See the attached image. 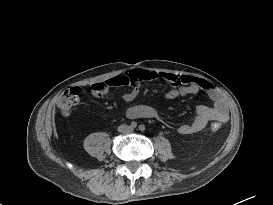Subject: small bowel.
<instances>
[{"mask_svg": "<svg viewBox=\"0 0 273 205\" xmlns=\"http://www.w3.org/2000/svg\"><path fill=\"white\" fill-rule=\"evenodd\" d=\"M142 80H164L171 83L173 88L163 94L162 98L164 100H173L200 91H205L211 98L213 101L212 106H198L194 120L179 126L178 131L181 134L199 132L210 121L224 123L228 120V105L222 92L209 81L191 75L136 69L130 71L127 75H118L105 81L96 82L91 86V91L94 96L102 98L110 95L113 89L130 86L129 91L124 93L123 100L132 102L139 94V89L134 83ZM127 114L131 118L159 117L156 108L149 103L130 107Z\"/></svg>", "mask_w": 273, "mask_h": 205, "instance_id": "c3829d8e", "label": "small bowel"}]
</instances>
